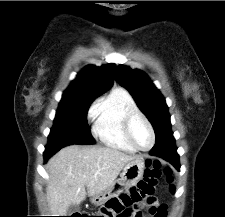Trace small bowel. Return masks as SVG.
Here are the masks:
<instances>
[{
    "mask_svg": "<svg viewBox=\"0 0 225 217\" xmlns=\"http://www.w3.org/2000/svg\"><path fill=\"white\" fill-rule=\"evenodd\" d=\"M146 205L148 206V208H156L158 207V203L156 201L155 198H152V199H149L147 200L146 202ZM143 205L141 203H138L136 204L132 210H124L120 215L119 217H134V212L135 211H139L140 212V208L142 207ZM142 214V213H141Z\"/></svg>",
    "mask_w": 225,
    "mask_h": 217,
    "instance_id": "1",
    "label": "small bowel"
}]
</instances>
